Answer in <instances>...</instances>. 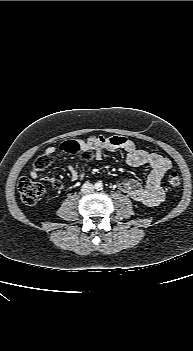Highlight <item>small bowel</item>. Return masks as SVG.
I'll return each mask as SVG.
<instances>
[{
  "mask_svg": "<svg viewBox=\"0 0 193 351\" xmlns=\"http://www.w3.org/2000/svg\"><path fill=\"white\" fill-rule=\"evenodd\" d=\"M118 149L126 153L128 165L132 167L148 166L150 168L144 186L135 179H124L118 182L119 189L132 200L145 206L153 207L160 204L165 197L161 181L165 173L171 168V161L160 154L138 149L135 143L125 136L95 135L86 140L61 141L55 147L48 146L43 154L56 153L58 156H66L67 154L84 155L89 150L94 153L96 159H100L104 150L114 151ZM67 169L73 182L83 180L84 173L77 170L75 166L67 164ZM29 174L34 179L39 176L35 167L30 169ZM47 181L53 184L56 182L53 177H47Z\"/></svg>",
  "mask_w": 193,
  "mask_h": 351,
  "instance_id": "c3829d8e",
  "label": "small bowel"
}]
</instances>
